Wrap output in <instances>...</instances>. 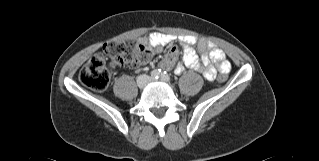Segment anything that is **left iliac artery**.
Returning <instances> with one entry per match:
<instances>
[{
  "label": "left iliac artery",
  "mask_w": 319,
  "mask_h": 161,
  "mask_svg": "<svg viewBox=\"0 0 319 161\" xmlns=\"http://www.w3.org/2000/svg\"><path fill=\"white\" fill-rule=\"evenodd\" d=\"M160 77H161V79H162L163 81H165V82H169V81H170V76L167 74L166 71H165V72H162Z\"/></svg>",
  "instance_id": "44dca946"
}]
</instances>
